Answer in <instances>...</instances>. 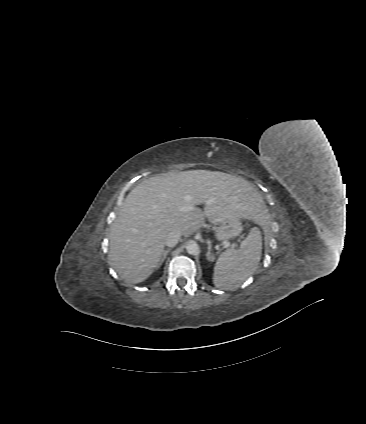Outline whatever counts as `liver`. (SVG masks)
<instances>
[{
  "label": "liver",
  "instance_id": "6515ba94",
  "mask_svg": "<svg viewBox=\"0 0 366 424\" xmlns=\"http://www.w3.org/2000/svg\"><path fill=\"white\" fill-rule=\"evenodd\" d=\"M264 212L259 192L240 177L208 170L154 176L123 202L109 235L110 263L126 282L141 283L157 268L169 233L189 237L206 218L214 225L241 218L262 224Z\"/></svg>",
  "mask_w": 366,
  "mask_h": 424
}]
</instances>
